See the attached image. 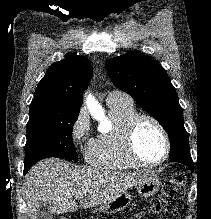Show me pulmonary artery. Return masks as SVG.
Here are the masks:
<instances>
[{
    "label": "pulmonary artery",
    "instance_id": "e3ab8cb5",
    "mask_svg": "<svg viewBox=\"0 0 211 219\" xmlns=\"http://www.w3.org/2000/svg\"><path fill=\"white\" fill-rule=\"evenodd\" d=\"M106 102L109 103H115V102H132V99L119 91H111L108 93Z\"/></svg>",
    "mask_w": 211,
    "mask_h": 219
}]
</instances>
